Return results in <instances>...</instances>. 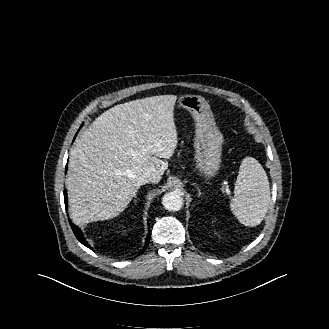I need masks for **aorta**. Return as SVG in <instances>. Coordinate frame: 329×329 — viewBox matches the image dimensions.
Listing matches in <instances>:
<instances>
[{"label": "aorta", "instance_id": "762f6f07", "mask_svg": "<svg viewBox=\"0 0 329 329\" xmlns=\"http://www.w3.org/2000/svg\"><path fill=\"white\" fill-rule=\"evenodd\" d=\"M162 204L169 211H179L183 206V196L179 189L164 194Z\"/></svg>", "mask_w": 329, "mask_h": 329}]
</instances>
